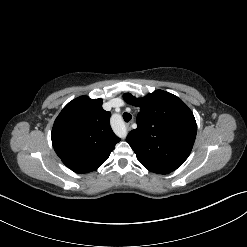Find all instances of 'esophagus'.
Masks as SVG:
<instances>
[{
    "mask_svg": "<svg viewBox=\"0 0 247 247\" xmlns=\"http://www.w3.org/2000/svg\"><path fill=\"white\" fill-rule=\"evenodd\" d=\"M126 128L129 129L130 128V123L126 124Z\"/></svg>",
    "mask_w": 247,
    "mask_h": 247,
    "instance_id": "obj_1",
    "label": "esophagus"
}]
</instances>
